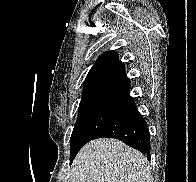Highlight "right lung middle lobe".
<instances>
[{"instance_id":"right-lung-middle-lobe-1","label":"right lung middle lobe","mask_w":196,"mask_h":182,"mask_svg":"<svg viewBox=\"0 0 196 182\" xmlns=\"http://www.w3.org/2000/svg\"><path fill=\"white\" fill-rule=\"evenodd\" d=\"M134 109L130 105L97 103L79 108L70 144V160L78 151L92 140L102 129L119 120Z\"/></svg>"}]
</instances>
